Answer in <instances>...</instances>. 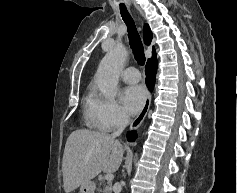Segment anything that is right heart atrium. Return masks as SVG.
<instances>
[{"label":"right heart atrium","instance_id":"right-heart-atrium-1","mask_svg":"<svg viewBox=\"0 0 237 193\" xmlns=\"http://www.w3.org/2000/svg\"><path fill=\"white\" fill-rule=\"evenodd\" d=\"M93 112L97 126L103 131H112L127 124L129 117L113 98L95 97Z\"/></svg>","mask_w":237,"mask_h":193}]
</instances>
